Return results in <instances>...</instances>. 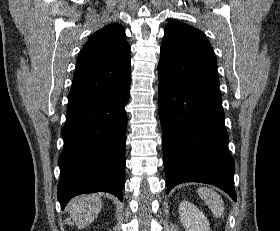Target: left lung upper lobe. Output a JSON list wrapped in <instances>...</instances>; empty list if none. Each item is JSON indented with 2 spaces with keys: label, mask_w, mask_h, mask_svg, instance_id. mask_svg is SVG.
<instances>
[{
  "label": "left lung upper lobe",
  "mask_w": 280,
  "mask_h": 231,
  "mask_svg": "<svg viewBox=\"0 0 280 231\" xmlns=\"http://www.w3.org/2000/svg\"><path fill=\"white\" fill-rule=\"evenodd\" d=\"M158 70L180 83L219 86L217 60L208 39L195 27L171 21L165 27Z\"/></svg>",
  "instance_id": "obj_1"
}]
</instances>
